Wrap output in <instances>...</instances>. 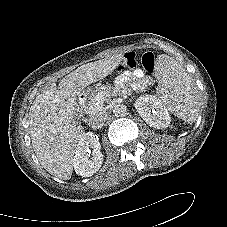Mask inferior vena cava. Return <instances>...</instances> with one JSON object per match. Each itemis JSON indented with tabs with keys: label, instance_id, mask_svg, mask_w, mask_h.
Here are the masks:
<instances>
[{
	"label": "inferior vena cava",
	"instance_id": "obj_1",
	"mask_svg": "<svg viewBox=\"0 0 227 227\" xmlns=\"http://www.w3.org/2000/svg\"><path fill=\"white\" fill-rule=\"evenodd\" d=\"M105 119H106V116L103 111L95 112L90 115L88 125L93 129H99L104 125Z\"/></svg>",
	"mask_w": 227,
	"mask_h": 227
}]
</instances>
